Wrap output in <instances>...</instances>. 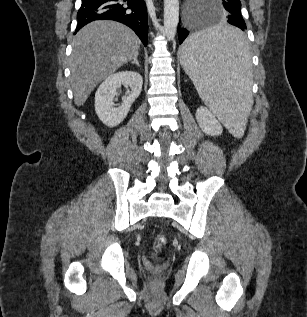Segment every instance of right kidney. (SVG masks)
<instances>
[{
  "label": "right kidney",
  "mask_w": 307,
  "mask_h": 317,
  "mask_svg": "<svg viewBox=\"0 0 307 317\" xmlns=\"http://www.w3.org/2000/svg\"><path fill=\"white\" fill-rule=\"evenodd\" d=\"M142 84V76L135 71H120L107 77L95 94V111L99 119L109 127L120 124L140 95ZM122 85L129 87L131 92L122 97L121 105L115 107V95Z\"/></svg>",
  "instance_id": "obj_1"
}]
</instances>
